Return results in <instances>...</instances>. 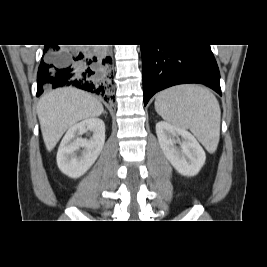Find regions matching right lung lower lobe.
I'll use <instances>...</instances> for the list:
<instances>
[{"instance_id":"1","label":"right lung lower lobe","mask_w":267,"mask_h":267,"mask_svg":"<svg viewBox=\"0 0 267 267\" xmlns=\"http://www.w3.org/2000/svg\"><path fill=\"white\" fill-rule=\"evenodd\" d=\"M111 63L105 47L79 50L45 45L37 74V96L44 89L72 86L112 100Z\"/></svg>"}]
</instances>
